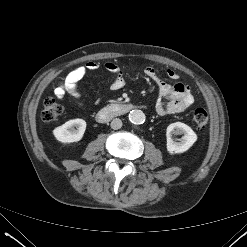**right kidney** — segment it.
Instances as JSON below:
<instances>
[{
  "instance_id": "obj_1",
  "label": "right kidney",
  "mask_w": 247,
  "mask_h": 247,
  "mask_svg": "<svg viewBox=\"0 0 247 247\" xmlns=\"http://www.w3.org/2000/svg\"><path fill=\"white\" fill-rule=\"evenodd\" d=\"M86 122L83 119L69 120L53 130L54 137L62 143H74L83 138Z\"/></svg>"
}]
</instances>
